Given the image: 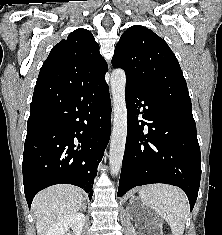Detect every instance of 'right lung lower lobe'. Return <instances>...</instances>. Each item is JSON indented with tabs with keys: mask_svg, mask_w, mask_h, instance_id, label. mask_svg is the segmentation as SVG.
<instances>
[{
	"mask_svg": "<svg viewBox=\"0 0 222 235\" xmlns=\"http://www.w3.org/2000/svg\"><path fill=\"white\" fill-rule=\"evenodd\" d=\"M32 102L51 118L27 127L22 171L28 206L40 190L59 183L79 186L91 199L111 132L105 76L65 90L36 87Z\"/></svg>",
	"mask_w": 222,
	"mask_h": 235,
	"instance_id": "right-lung-lower-lobe-1",
	"label": "right lung lower lobe"
}]
</instances>
